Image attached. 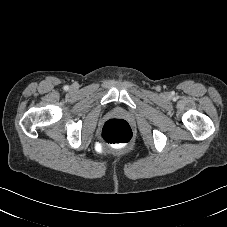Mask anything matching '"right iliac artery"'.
Returning a JSON list of instances; mask_svg holds the SVG:
<instances>
[{"mask_svg":"<svg viewBox=\"0 0 227 227\" xmlns=\"http://www.w3.org/2000/svg\"><path fill=\"white\" fill-rule=\"evenodd\" d=\"M68 89H69V87H68V86H64V90H66V91H67Z\"/></svg>","mask_w":227,"mask_h":227,"instance_id":"82829eb1","label":"right iliac artery"}]
</instances>
